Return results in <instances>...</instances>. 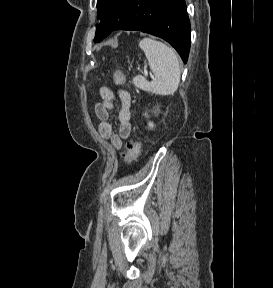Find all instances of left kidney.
Instances as JSON below:
<instances>
[{"label":"left kidney","mask_w":273,"mask_h":288,"mask_svg":"<svg viewBox=\"0 0 273 288\" xmlns=\"http://www.w3.org/2000/svg\"><path fill=\"white\" fill-rule=\"evenodd\" d=\"M149 126H150V128H153L154 125H153V123L150 122Z\"/></svg>","instance_id":"5707ae66"}]
</instances>
